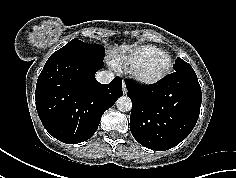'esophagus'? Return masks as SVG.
<instances>
[{"label":"esophagus","instance_id":"esophagus-1","mask_svg":"<svg viewBox=\"0 0 236 178\" xmlns=\"http://www.w3.org/2000/svg\"><path fill=\"white\" fill-rule=\"evenodd\" d=\"M122 91H123V94L127 93V87H126V84L124 82H122Z\"/></svg>","mask_w":236,"mask_h":178}]
</instances>
